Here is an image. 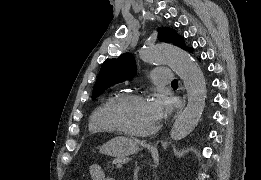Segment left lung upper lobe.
<instances>
[{"label":"left lung upper lobe","mask_w":261,"mask_h":180,"mask_svg":"<svg viewBox=\"0 0 261 180\" xmlns=\"http://www.w3.org/2000/svg\"><path fill=\"white\" fill-rule=\"evenodd\" d=\"M158 38L162 42L173 43L180 48L187 50L184 39L179 36L175 30L170 28H159ZM136 74V64L131 54H122L117 59H106L103 63L99 76L94 85L92 99L97 98L102 91L123 82L126 79H131Z\"/></svg>","instance_id":"5c2ea615"}]
</instances>
